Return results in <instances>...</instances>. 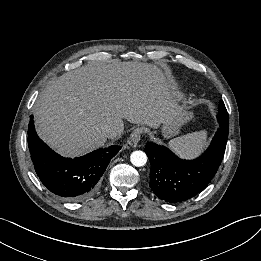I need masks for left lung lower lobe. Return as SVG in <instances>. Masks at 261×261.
<instances>
[{
    "instance_id": "left-lung-lower-lobe-1",
    "label": "left lung lower lobe",
    "mask_w": 261,
    "mask_h": 261,
    "mask_svg": "<svg viewBox=\"0 0 261 261\" xmlns=\"http://www.w3.org/2000/svg\"><path fill=\"white\" fill-rule=\"evenodd\" d=\"M224 114L219 111V129L208 149L194 160L180 159L165 146L147 142L145 152L151 163L149 186L159 199L168 203L186 201L209 184L225 153L229 120Z\"/></svg>"
}]
</instances>
